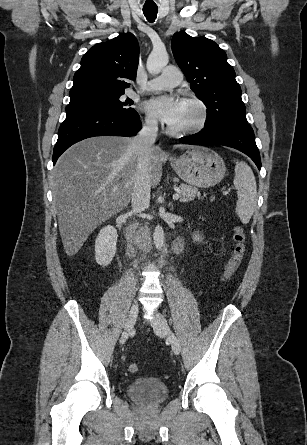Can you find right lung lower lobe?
<instances>
[{
	"instance_id": "obj_1",
	"label": "right lung lower lobe",
	"mask_w": 307,
	"mask_h": 445,
	"mask_svg": "<svg viewBox=\"0 0 307 445\" xmlns=\"http://www.w3.org/2000/svg\"><path fill=\"white\" fill-rule=\"evenodd\" d=\"M141 129L139 115L113 111H77L68 113L58 131L53 165L71 145L85 138L102 135L132 136Z\"/></svg>"
}]
</instances>
